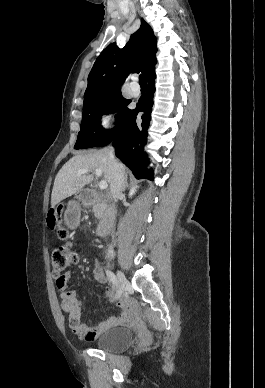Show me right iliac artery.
I'll use <instances>...</instances> for the list:
<instances>
[{
  "instance_id": "right-iliac-artery-1",
  "label": "right iliac artery",
  "mask_w": 265,
  "mask_h": 388,
  "mask_svg": "<svg viewBox=\"0 0 265 388\" xmlns=\"http://www.w3.org/2000/svg\"><path fill=\"white\" fill-rule=\"evenodd\" d=\"M106 275H107L108 279L112 282L113 286L117 287L118 280H117L115 274L110 270H106Z\"/></svg>"
}]
</instances>
